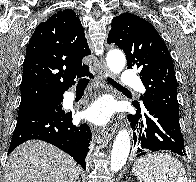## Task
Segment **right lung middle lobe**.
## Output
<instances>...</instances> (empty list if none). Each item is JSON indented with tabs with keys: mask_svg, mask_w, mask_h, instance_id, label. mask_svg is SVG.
<instances>
[{
	"mask_svg": "<svg viewBox=\"0 0 196 182\" xmlns=\"http://www.w3.org/2000/svg\"><path fill=\"white\" fill-rule=\"evenodd\" d=\"M63 101V97H56L51 98L47 100H43L36 103L26 104V105H20L19 106V112H18V118H21L23 116L39 112V111H46V110H52L54 108H57L61 106V102Z\"/></svg>",
	"mask_w": 196,
	"mask_h": 182,
	"instance_id": "right-lung-middle-lobe-1",
	"label": "right lung middle lobe"
}]
</instances>
